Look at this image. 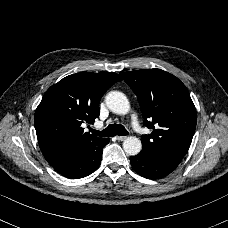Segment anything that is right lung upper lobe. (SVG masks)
Listing matches in <instances>:
<instances>
[{
  "instance_id": "1",
  "label": "right lung upper lobe",
  "mask_w": 228,
  "mask_h": 228,
  "mask_svg": "<svg viewBox=\"0 0 228 228\" xmlns=\"http://www.w3.org/2000/svg\"><path fill=\"white\" fill-rule=\"evenodd\" d=\"M122 78L113 72H82L52 85L35 112V129L46 160L72 153L98 138L83 132L100 114L104 93Z\"/></svg>"
}]
</instances>
